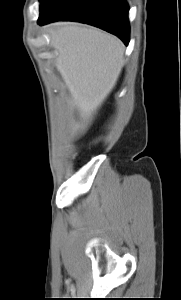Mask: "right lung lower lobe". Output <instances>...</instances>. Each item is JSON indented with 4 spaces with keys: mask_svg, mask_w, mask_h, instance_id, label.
Returning a JSON list of instances; mask_svg holds the SVG:
<instances>
[{
    "mask_svg": "<svg viewBox=\"0 0 181 300\" xmlns=\"http://www.w3.org/2000/svg\"><path fill=\"white\" fill-rule=\"evenodd\" d=\"M71 20L99 27L129 42L128 5L125 0H61L47 14L40 16L39 25Z\"/></svg>",
    "mask_w": 181,
    "mask_h": 300,
    "instance_id": "right-lung-lower-lobe-1",
    "label": "right lung lower lobe"
}]
</instances>
